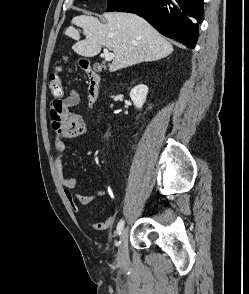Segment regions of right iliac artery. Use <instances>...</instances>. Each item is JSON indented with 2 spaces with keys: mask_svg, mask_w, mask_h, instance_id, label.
Returning <instances> with one entry per match:
<instances>
[{
  "mask_svg": "<svg viewBox=\"0 0 249 294\" xmlns=\"http://www.w3.org/2000/svg\"><path fill=\"white\" fill-rule=\"evenodd\" d=\"M124 226V220H120L117 225V233L120 235Z\"/></svg>",
  "mask_w": 249,
  "mask_h": 294,
  "instance_id": "82829eb1",
  "label": "right iliac artery"
}]
</instances>
